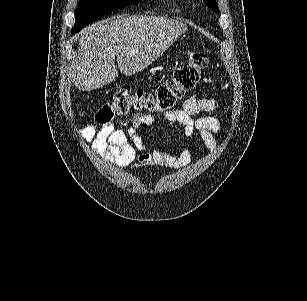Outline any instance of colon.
<instances>
[{"instance_id": "colon-1", "label": "colon", "mask_w": 307, "mask_h": 301, "mask_svg": "<svg viewBox=\"0 0 307 301\" xmlns=\"http://www.w3.org/2000/svg\"><path fill=\"white\" fill-rule=\"evenodd\" d=\"M209 61L205 51H194L175 70L171 78L160 85L154 93L137 90L129 93L117 91L113 100L100 105L94 120L107 124L132 112H163L170 110L186 92L193 89Z\"/></svg>"}]
</instances>
